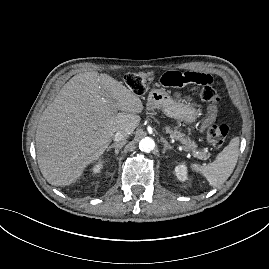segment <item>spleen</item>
Returning a JSON list of instances; mask_svg holds the SVG:
<instances>
[{"label":"spleen","mask_w":269,"mask_h":269,"mask_svg":"<svg viewBox=\"0 0 269 269\" xmlns=\"http://www.w3.org/2000/svg\"><path fill=\"white\" fill-rule=\"evenodd\" d=\"M239 137L231 139L229 144L208 164H191V169L201 173L212 187L223 184L232 174L239 156Z\"/></svg>","instance_id":"1"}]
</instances>
